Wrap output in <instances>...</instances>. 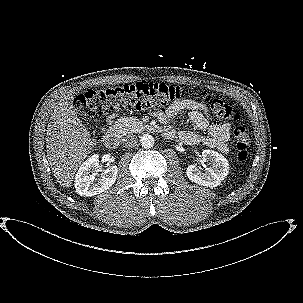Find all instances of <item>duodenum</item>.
<instances>
[{
    "label": "duodenum",
    "instance_id": "duodenum-1",
    "mask_svg": "<svg viewBox=\"0 0 303 303\" xmlns=\"http://www.w3.org/2000/svg\"><path fill=\"white\" fill-rule=\"evenodd\" d=\"M104 142L108 148L114 149L119 144V136L114 131H108L104 136Z\"/></svg>",
    "mask_w": 303,
    "mask_h": 303
}]
</instances>
